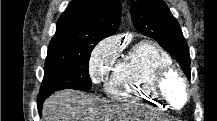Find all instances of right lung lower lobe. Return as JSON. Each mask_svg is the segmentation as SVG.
Here are the masks:
<instances>
[{
  "label": "right lung lower lobe",
  "mask_w": 217,
  "mask_h": 121,
  "mask_svg": "<svg viewBox=\"0 0 217 121\" xmlns=\"http://www.w3.org/2000/svg\"><path fill=\"white\" fill-rule=\"evenodd\" d=\"M46 98L47 97L38 99V111H39V114H41L42 104H43V102L45 101Z\"/></svg>",
  "instance_id": "1"
}]
</instances>
